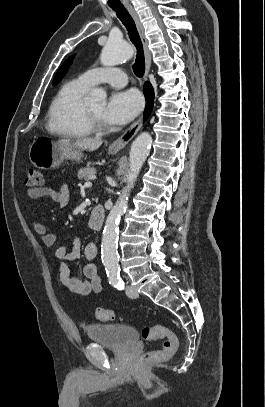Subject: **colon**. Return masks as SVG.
Segmentation results:
<instances>
[{
  "instance_id": "1",
  "label": "colon",
  "mask_w": 265,
  "mask_h": 407,
  "mask_svg": "<svg viewBox=\"0 0 265 407\" xmlns=\"http://www.w3.org/2000/svg\"><path fill=\"white\" fill-rule=\"evenodd\" d=\"M42 183L43 176L41 171L37 168H29L25 181L26 186L29 188L40 187ZM95 317L101 321H113L118 316L113 310L97 308L95 310ZM142 337L146 340L163 341L160 349L144 353L141 356L140 362L142 364L164 361L175 355L178 350L179 342L177 335L161 323H154L144 327Z\"/></svg>"
}]
</instances>
